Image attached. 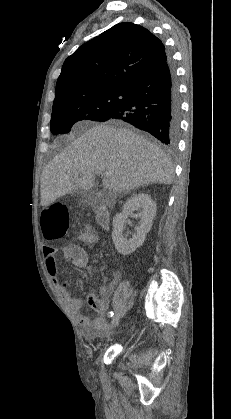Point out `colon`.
<instances>
[{
    "instance_id": "1",
    "label": "colon",
    "mask_w": 231,
    "mask_h": 419,
    "mask_svg": "<svg viewBox=\"0 0 231 419\" xmlns=\"http://www.w3.org/2000/svg\"><path fill=\"white\" fill-rule=\"evenodd\" d=\"M42 224L47 235H63L69 227L68 209L63 204H53L43 211Z\"/></svg>"
}]
</instances>
